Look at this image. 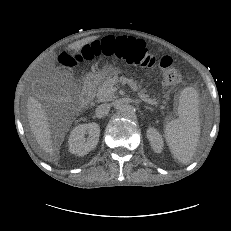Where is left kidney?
I'll list each match as a JSON object with an SVG mask.
<instances>
[{"mask_svg": "<svg viewBox=\"0 0 231 231\" xmlns=\"http://www.w3.org/2000/svg\"><path fill=\"white\" fill-rule=\"evenodd\" d=\"M147 138L151 144L152 149L156 153L162 152L163 149V139L159 132L155 128H149L147 130Z\"/></svg>", "mask_w": 231, "mask_h": 231, "instance_id": "5707ae66", "label": "left kidney"}]
</instances>
